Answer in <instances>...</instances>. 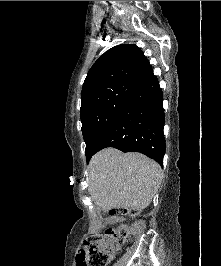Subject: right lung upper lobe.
Segmentation results:
<instances>
[{"label":"right lung upper lobe","mask_w":221,"mask_h":266,"mask_svg":"<svg viewBox=\"0 0 221 266\" xmlns=\"http://www.w3.org/2000/svg\"><path fill=\"white\" fill-rule=\"evenodd\" d=\"M154 77L152 67L136 45L122 44L106 51L89 70L81 99L102 88L119 85L142 86Z\"/></svg>","instance_id":"obj_1"}]
</instances>
